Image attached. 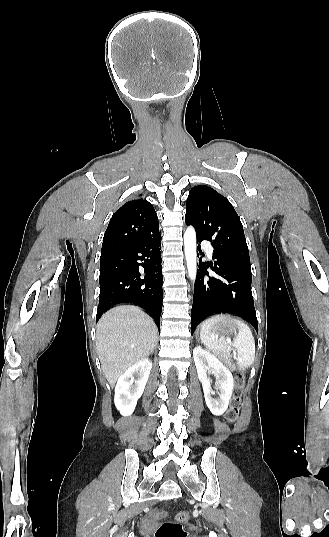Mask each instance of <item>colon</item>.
I'll use <instances>...</instances> for the list:
<instances>
[{"mask_svg":"<svg viewBox=\"0 0 329 537\" xmlns=\"http://www.w3.org/2000/svg\"><path fill=\"white\" fill-rule=\"evenodd\" d=\"M244 386V373L238 371L235 376V387L229 409L226 412V420L233 423L239 415L241 405V395ZM155 516H160V513H155ZM164 516V513H161ZM191 514L189 511H180L176 515V522H162L155 531V537H186L188 531L184 524L189 521Z\"/></svg>","mask_w":329,"mask_h":537,"instance_id":"1","label":"colon"}]
</instances>
